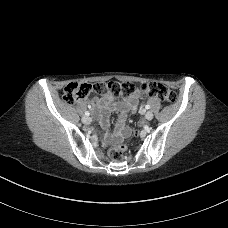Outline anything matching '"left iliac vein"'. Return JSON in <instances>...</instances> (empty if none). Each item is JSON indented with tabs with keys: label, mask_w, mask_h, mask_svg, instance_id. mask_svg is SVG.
Masks as SVG:
<instances>
[{
	"label": "left iliac vein",
	"mask_w": 228,
	"mask_h": 228,
	"mask_svg": "<svg viewBox=\"0 0 228 228\" xmlns=\"http://www.w3.org/2000/svg\"><path fill=\"white\" fill-rule=\"evenodd\" d=\"M145 119H146L147 121L152 120V119H153V113H152L151 111H148V112L146 113V115H145Z\"/></svg>",
	"instance_id": "4c4485c4"
}]
</instances>
